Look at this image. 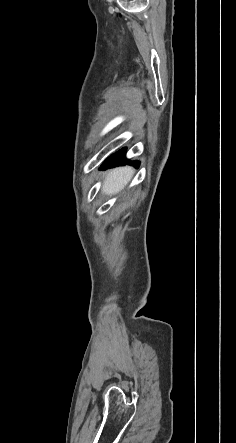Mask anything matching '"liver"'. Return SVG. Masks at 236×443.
<instances>
[{
    "mask_svg": "<svg viewBox=\"0 0 236 443\" xmlns=\"http://www.w3.org/2000/svg\"><path fill=\"white\" fill-rule=\"evenodd\" d=\"M133 174V168L127 166L109 171L102 186V194L112 196L119 193L131 180Z\"/></svg>",
    "mask_w": 236,
    "mask_h": 443,
    "instance_id": "liver-1",
    "label": "liver"
}]
</instances>
